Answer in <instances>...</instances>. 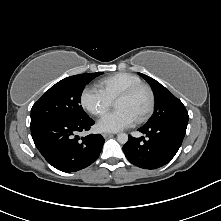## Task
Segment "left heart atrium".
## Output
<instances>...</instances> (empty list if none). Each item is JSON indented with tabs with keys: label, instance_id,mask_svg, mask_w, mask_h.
<instances>
[{
	"label": "left heart atrium",
	"instance_id": "1",
	"mask_svg": "<svg viewBox=\"0 0 221 221\" xmlns=\"http://www.w3.org/2000/svg\"><path fill=\"white\" fill-rule=\"evenodd\" d=\"M135 120L127 110L117 109L99 119L97 128L102 132H117L131 126Z\"/></svg>",
	"mask_w": 221,
	"mask_h": 221
}]
</instances>
